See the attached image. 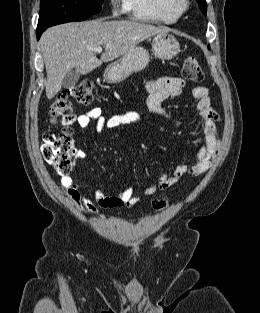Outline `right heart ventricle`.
Masks as SVG:
<instances>
[{
  "instance_id": "right-heart-ventricle-1",
  "label": "right heart ventricle",
  "mask_w": 260,
  "mask_h": 313,
  "mask_svg": "<svg viewBox=\"0 0 260 313\" xmlns=\"http://www.w3.org/2000/svg\"><path fill=\"white\" fill-rule=\"evenodd\" d=\"M124 10L137 21L172 24L179 14L168 6V0H122Z\"/></svg>"
}]
</instances>
